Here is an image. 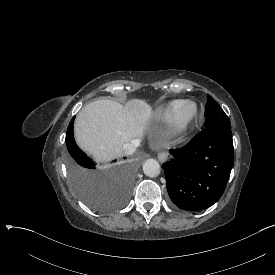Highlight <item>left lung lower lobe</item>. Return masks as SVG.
<instances>
[{
	"instance_id": "1",
	"label": "left lung lower lobe",
	"mask_w": 275,
	"mask_h": 275,
	"mask_svg": "<svg viewBox=\"0 0 275 275\" xmlns=\"http://www.w3.org/2000/svg\"><path fill=\"white\" fill-rule=\"evenodd\" d=\"M163 164L172 202L186 211H201L222 196L234 162L231 127L208 128Z\"/></svg>"
}]
</instances>
